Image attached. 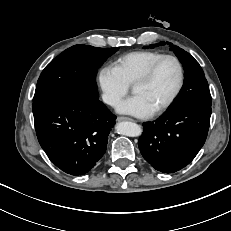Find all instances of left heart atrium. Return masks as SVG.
<instances>
[{"label":"left heart atrium","mask_w":231,"mask_h":231,"mask_svg":"<svg viewBox=\"0 0 231 231\" xmlns=\"http://www.w3.org/2000/svg\"><path fill=\"white\" fill-rule=\"evenodd\" d=\"M117 111L136 117H148L153 114L154 109L140 95H134L122 101Z\"/></svg>","instance_id":"obj_1"}]
</instances>
